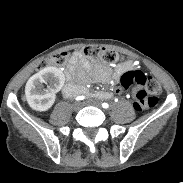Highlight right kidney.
Masks as SVG:
<instances>
[{
    "label": "right kidney",
    "mask_w": 183,
    "mask_h": 183,
    "mask_svg": "<svg viewBox=\"0 0 183 183\" xmlns=\"http://www.w3.org/2000/svg\"><path fill=\"white\" fill-rule=\"evenodd\" d=\"M64 81L63 72L56 67H46L33 75L25 87L29 106L35 111H47L54 104L55 89H60ZM43 83H49L52 88L45 89Z\"/></svg>",
    "instance_id": "ca27d5eb"
}]
</instances>
